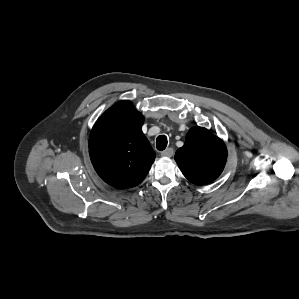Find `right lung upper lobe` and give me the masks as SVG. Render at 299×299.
Instances as JSON below:
<instances>
[{
  "mask_svg": "<svg viewBox=\"0 0 299 299\" xmlns=\"http://www.w3.org/2000/svg\"><path fill=\"white\" fill-rule=\"evenodd\" d=\"M144 118L130 101L116 103L96 121L89 138L94 169L109 185L125 189L141 183L155 152L141 127Z\"/></svg>",
  "mask_w": 299,
  "mask_h": 299,
  "instance_id": "1",
  "label": "right lung upper lobe"
}]
</instances>
